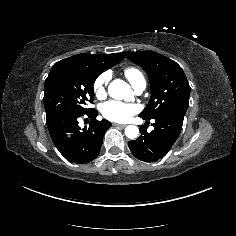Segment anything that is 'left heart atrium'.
Masks as SVG:
<instances>
[{"label": "left heart atrium", "mask_w": 236, "mask_h": 236, "mask_svg": "<svg viewBox=\"0 0 236 236\" xmlns=\"http://www.w3.org/2000/svg\"><path fill=\"white\" fill-rule=\"evenodd\" d=\"M100 111L102 116L108 120L124 122L138 112V107L134 104L111 100L101 105Z\"/></svg>", "instance_id": "obj_1"}]
</instances>
